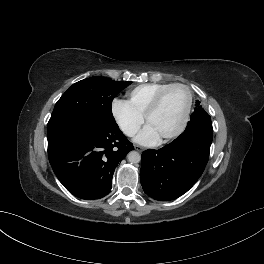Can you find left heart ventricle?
I'll return each mask as SVG.
<instances>
[{
  "mask_svg": "<svg viewBox=\"0 0 264 264\" xmlns=\"http://www.w3.org/2000/svg\"><path fill=\"white\" fill-rule=\"evenodd\" d=\"M187 101L186 91L173 88L164 96L159 108L150 116L151 125L160 137L173 131L179 124Z\"/></svg>",
  "mask_w": 264,
  "mask_h": 264,
  "instance_id": "left-heart-ventricle-1",
  "label": "left heart ventricle"
}]
</instances>
